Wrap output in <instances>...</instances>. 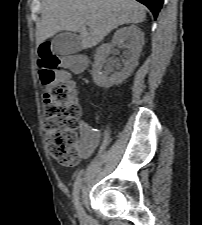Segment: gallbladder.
<instances>
[{
	"instance_id": "obj_1",
	"label": "gallbladder",
	"mask_w": 202,
	"mask_h": 225,
	"mask_svg": "<svg viewBox=\"0 0 202 225\" xmlns=\"http://www.w3.org/2000/svg\"><path fill=\"white\" fill-rule=\"evenodd\" d=\"M81 50L80 36L73 32L57 34L51 43V51L58 56H66L78 53Z\"/></svg>"
}]
</instances>
